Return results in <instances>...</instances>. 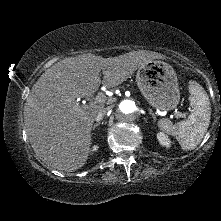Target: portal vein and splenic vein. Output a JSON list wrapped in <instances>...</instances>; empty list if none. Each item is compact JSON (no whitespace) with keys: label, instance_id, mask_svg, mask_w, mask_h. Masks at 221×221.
Wrapping results in <instances>:
<instances>
[{"label":"portal vein and splenic vein","instance_id":"obj_1","mask_svg":"<svg viewBox=\"0 0 221 221\" xmlns=\"http://www.w3.org/2000/svg\"><path fill=\"white\" fill-rule=\"evenodd\" d=\"M106 96L104 94H98L95 99H94V103L95 104H101L104 103L106 101ZM175 116L179 117V118H185L186 116L180 112L175 111Z\"/></svg>","mask_w":221,"mask_h":221}]
</instances>
